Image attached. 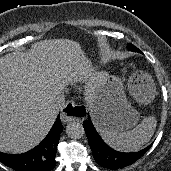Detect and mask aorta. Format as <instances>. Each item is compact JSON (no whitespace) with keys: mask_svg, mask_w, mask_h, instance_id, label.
<instances>
[{"mask_svg":"<svg viewBox=\"0 0 171 171\" xmlns=\"http://www.w3.org/2000/svg\"><path fill=\"white\" fill-rule=\"evenodd\" d=\"M66 133L71 139H80L84 136L85 130L79 122H71L66 126Z\"/></svg>","mask_w":171,"mask_h":171,"instance_id":"obj_1","label":"aorta"}]
</instances>
